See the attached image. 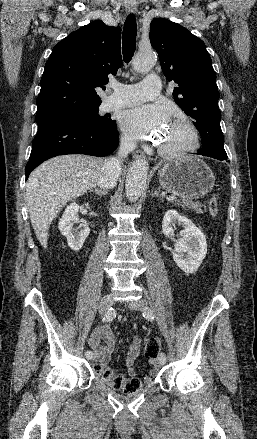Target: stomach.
Listing matches in <instances>:
<instances>
[{
	"label": "stomach",
	"mask_w": 257,
	"mask_h": 439,
	"mask_svg": "<svg viewBox=\"0 0 257 439\" xmlns=\"http://www.w3.org/2000/svg\"><path fill=\"white\" fill-rule=\"evenodd\" d=\"M159 182L168 192L193 200L212 191L215 176L199 157L185 156L165 162L159 173Z\"/></svg>",
	"instance_id": "stomach-1"
}]
</instances>
